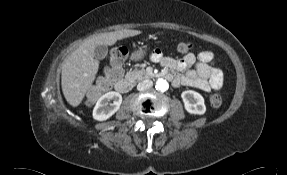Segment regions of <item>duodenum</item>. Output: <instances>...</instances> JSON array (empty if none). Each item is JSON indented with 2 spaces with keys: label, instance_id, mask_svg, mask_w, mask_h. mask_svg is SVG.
Segmentation results:
<instances>
[{
  "label": "duodenum",
  "instance_id": "duodenum-1",
  "mask_svg": "<svg viewBox=\"0 0 287 175\" xmlns=\"http://www.w3.org/2000/svg\"><path fill=\"white\" fill-rule=\"evenodd\" d=\"M166 77L168 80L172 81L170 74H168ZM132 87H133V82L131 79H122L117 83V86H116L117 90L120 92H128L132 89Z\"/></svg>",
  "mask_w": 287,
  "mask_h": 175
}]
</instances>
